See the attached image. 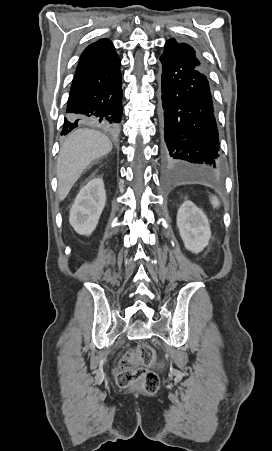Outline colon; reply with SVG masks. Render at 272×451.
<instances>
[{
    "label": "colon",
    "mask_w": 272,
    "mask_h": 451,
    "mask_svg": "<svg viewBox=\"0 0 272 451\" xmlns=\"http://www.w3.org/2000/svg\"><path fill=\"white\" fill-rule=\"evenodd\" d=\"M155 350L150 342H141L138 348L129 349L115 366L117 382L121 387L142 386L149 393H156L160 381L156 372L148 367L153 365Z\"/></svg>",
    "instance_id": "5ec220e1"
}]
</instances>
